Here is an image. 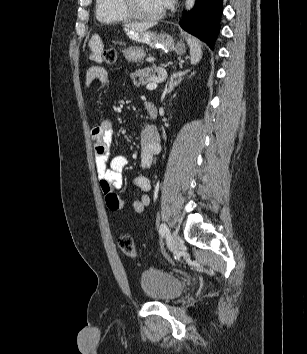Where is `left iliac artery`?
Masks as SVG:
<instances>
[{"instance_id":"1","label":"left iliac artery","mask_w":307,"mask_h":354,"mask_svg":"<svg viewBox=\"0 0 307 354\" xmlns=\"http://www.w3.org/2000/svg\"><path fill=\"white\" fill-rule=\"evenodd\" d=\"M159 232L162 236H165L169 232L168 227L165 223L160 225Z\"/></svg>"}]
</instances>
